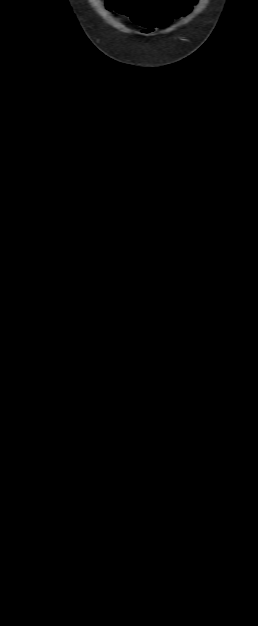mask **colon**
Instances as JSON below:
<instances>
[{"mask_svg":"<svg viewBox=\"0 0 258 626\" xmlns=\"http://www.w3.org/2000/svg\"><path fill=\"white\" fill-rule=\"evenodd\" d=\"M117 7H118V9H121L119 6H117ZM152 22H153L152 24L150 22L148 24H151V25H153V24L161 25L163 21L160 18H158V19H156V20H154Z\"/></svg>","mask_w":258,"mask_h":626,"instance_id":"5ec220e1","label":"colon"}]
</instances>
